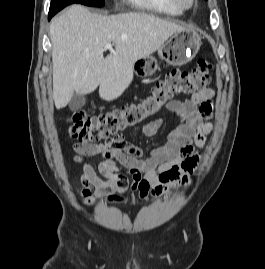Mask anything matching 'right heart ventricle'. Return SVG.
<instances>
[{
    "mask_svg": "<svg viewBox=\"0 0 265 269\" xmlns=\"http://www.w3.org/2000/svg\"><path fill=\"white\" fill-rule=\"evenodd\" d=\"M134 8L151 13H162L168 15H181L183 10L176 6L171 0H126Z\"/></svg>",
    "mask_w": 265,
    "mask_h": 269,
    "instance_id": "e07e8e85",
    "label": "right heart ventricle"
}]
</instances>
